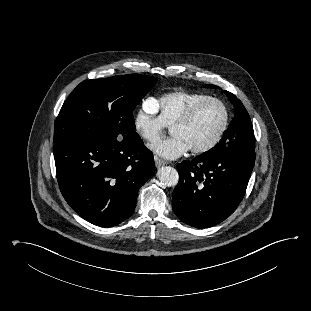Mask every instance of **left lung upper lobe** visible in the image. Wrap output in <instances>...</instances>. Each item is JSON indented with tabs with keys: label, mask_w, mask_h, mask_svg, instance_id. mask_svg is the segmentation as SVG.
I'll return each mask as SVG.
<instances>
[{
	"label": "left lung upper lobe",
	"mask_w": 311,
	"mask_h": 311,
	"mask_svg": "<svg viewBox=\"0 0 311 311\" xmlns=\"http://www.w3.org/2000/svg\"><path fill=\"white\" fill-rule=\"evenodd\" d=\"M215 88L214 85H205ZM234 106V117L221 141L205 155H218L236 149L255 150V137L251 119L242 102L232 93L225 91Z\"/></svg>",
	"instance_id": "5c2ea615"
}]
</instances>
